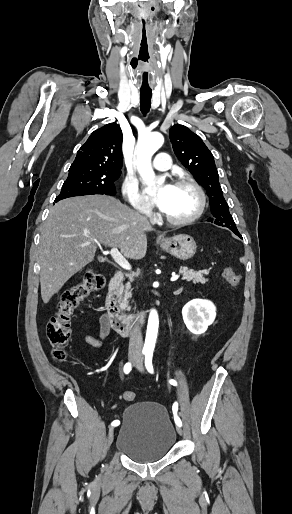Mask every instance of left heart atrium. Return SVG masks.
Instances as JSON below:
<instances>
[{"label": "left heart atrium", "instance_id": "obj_1", "mask_svg": "<svg viewBox=\"0 0 292 514\" xmlns=\"http://www.w3.org/2000/svg\"><path fill=\"white\" fill-rule=\"evenodd\" d=\"M174 189V186L171 184H165L163 187H161L156 192L148 193V198L150 202L158 207L163 209L165 207V204L172 194Z\"/></svg>", "mask_w": 292, "mask_h": 514}]
</instances>
